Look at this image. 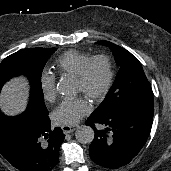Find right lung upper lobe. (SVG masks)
<instances>
[{
  "label": "right lung upper lobe",
  "instance_id": "right-lung-upper-lobe-1",
  "mask_svg": "<svg viewBox=\"0 0 171 171\" xmlns=\"http://www.w3.org/2000/svg\"><path fill=\"white\" fill-rule=\"evenodd\" d=\"M16 123L12 125V128L15 127Z\"/></svg>",
  "mask_w": 171,
  "mask_h": 171
}]
</instances>
